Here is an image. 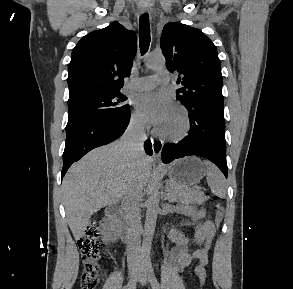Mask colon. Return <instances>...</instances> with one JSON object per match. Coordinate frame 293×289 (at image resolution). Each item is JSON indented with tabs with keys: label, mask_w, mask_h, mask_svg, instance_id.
I'll use <instances>...</instances> for the list:
<instances>
[{
	"label": "colon",
	"mask_w": 293,
	"mask_h": 289,
	"mask_svg": "<svg viewBox=\"0 0 293 289\" xmlns=\"http://www.w3.org/2000/svg\"><path fill=\"white\" fill-rule=\"evenodd\" d=\"M224 210L220 203L215 204L214 223L219 226L223 220ZM99 223L93 221L86 233L78 240V246L83 260L81 276V289H96L101 279L99 265L101 244L99 241ZM204 278L199 281L200 286L205 285Z\"/></svg>",
	"instance_id": "1"
}]
</instances>
